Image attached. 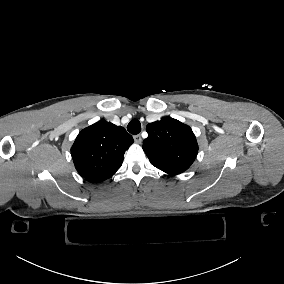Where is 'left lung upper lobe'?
<instances>
[{
    "mask_svg": "<svg viewBox=\"0 0 284 284\" xmlns=\"http://www.w3.org/2000/svg\"><path fill=\"white\" fill-rule=\"evenodd\" d=\"M143 150L152 165L169 175L186 171L194 162L198 144L192 129L180 121L164 117L149 123Z\"/></svg>",
    "mask_w": 284,
    "mask_h": 284,
    "instance_id": "obj_1",
    "label": "left lung upper lobe"
}]
</instances>
